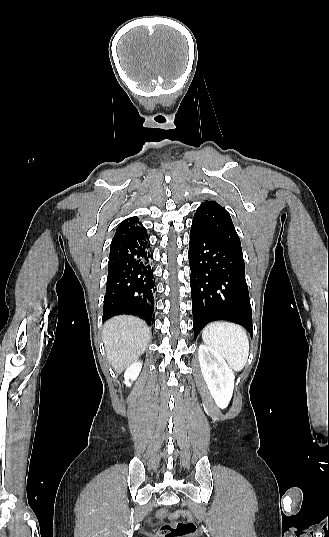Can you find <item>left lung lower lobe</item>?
<instances>
[{"label": "left lung lower lobe", "mask_w": 329, "mask_h": 537, "mask_svg": "<svg viewBox=\"0 0 329 537\" xmlns=\"http://www.w3.org/2000/svg\"><path fill=\"white\" fill-rule=\"evenodd\" d=\"M195 338L208 323L227 320L252 335V310L242 249L191 225L189 252Z\"/></svg>", "instance_id": "left-lung-lower-lobe-1"}]
</instances>
